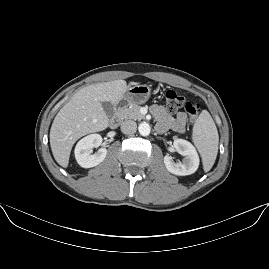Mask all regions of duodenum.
I'll return each instance as SVG.
<instances>
[{"mask_svg":"<svg viewBox=\"0 0 269 269\" xmlns=\"http://www.w3.org/2000/svg\"><path fill=\"white\" fill-rule=\"evenodd\" d=\"M120 120H121V116H120L119 110H117L114 116L110 119V126L112 128L116 127L119 124Z\"/></svg>","mask_w":269,"mask_h":269,"instance_id":"410a0bca","label":"duodenum"}]
</instances>
